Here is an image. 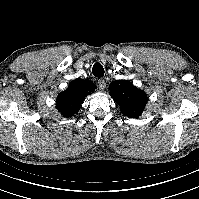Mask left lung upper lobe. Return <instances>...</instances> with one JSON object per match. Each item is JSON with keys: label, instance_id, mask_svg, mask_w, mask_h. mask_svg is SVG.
<instances>
[{"label": "left lung upper lobe", "instance_id": "left-lung-upper-lobe-1", "mask_svg": "<svg viewBox=\"0 0 199 199\" xmlns=\"http://www.w3.org/2000/svg\"><path fill=\"white\" fill-rule=\"evenodd\" d=\"M111 97L120 105L121 112L128 117H138L147 103L146 94L127 80L113 81L109 85Z\"/></svg>", "mask_w": 199, "mask_h": 199}]
</instances>
